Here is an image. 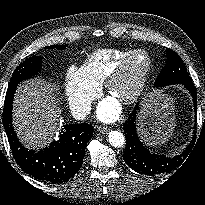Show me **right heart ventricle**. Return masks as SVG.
Returning <instances> with one entry per match:
<instances>
[{
    "label": "right heart ventricle",
    "instance_id": "1",
    "mask_svg": "<svg viewBox=\"0 0 205 205\" xmlns=\"http://www.w3.org/2000/svg\"><path fill=\"white\" fill-rule=\"evenodd\" d=\"M132 49H99L89 55L80 70L96 86H101L122 58Z\"/></svg>",
    "mask_w": 205,
    "mask_h": 205
}]
</instances>
